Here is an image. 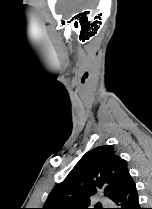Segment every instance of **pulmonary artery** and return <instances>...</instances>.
<instances>
[{
	"instance_id": "obj_1",
	"label": "pulmonary artery",
	"mask_w": 152,
	"mask_h": 209,
	"mask_svg": "<svg viewBox=\"0 0 152 209\" xmlns=\"http://www.w3.org/2000/svg\"><path fill=\"white\" fill-rule=\"evenodd\" d=\"M99 202H100L102 205L110 204V201H109L108 199H105V198H100V199H99Z\"/></svg>"
}]
</instances>
